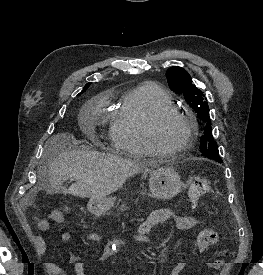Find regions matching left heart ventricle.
Returning <instances> with one entry per match:
<instances>
[{
	"instance_id": "b2bd125f",
	"label": "left heart ventricle",
	"mask_w": 263,
	"mask_h": 275,
	"mask_svg": "<svg viewBox=\"0 0 263 275\" xmlns=\"http://www.w3.org/2000/svg\"><path fill=\"white\" fill-rule=\"evenodd\" d=\"M188 135L186 123L176 117L165 119L157 128L156 140L165 149L181 146Z\"/></svg>"
}]
</instances>
